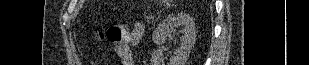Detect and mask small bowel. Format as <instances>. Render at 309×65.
<instances>
[{
	"label": "small bowel",
	"mask_w": 309,
	"mask_h": 65,
	"mask_svg": "<svg viewBox=\"0 0 309 65\" xmlns=\"http://www.w3.org/2000/svg\"><path fill=\"white\" fill-rule=\"evenodd\" d=\"M143 34L144 26L141 23H136L131 30L127 31L123 40L115 46V53L122 65H135L132 47L140 42Z\"/></svg>",
	"instance_id": "c3829d8e"
}]
</instances>
